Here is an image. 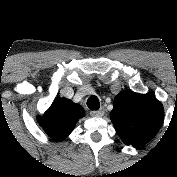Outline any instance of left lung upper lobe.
<instances>
[{
  "instance_id": "5c2ea615",
  "label": "left lung upper lobe",
  "mask_w": 177,
  "mask_h": 177,
  "mask_svg": "<svg viewBox=\"0 0 177 177\" xmlns=\"http://www.w3.org/2000/svg\"><path fill=\"white\" fill-rule=\"evenodd\" d=\"M113 106L110 118L126 145L146 144L162 124L163 107L153 96L125 91L115 97Z\"/></svg>"
}]
</instances>
